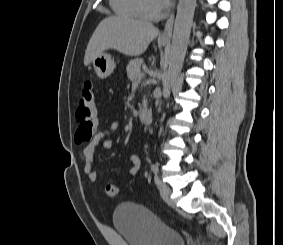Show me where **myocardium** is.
I'll return each instance as SVG.
<instances>
[{"label":"myocardium","instance_id":"obj_1","mask_svg":"<svg viewBox=\"0 0 283 245\" xmlns=\"http://www.w3.org/2000/svg\"><path fill=\"white\" fill-rule=\"evenodd\" d=\"M137 2V9L141 17L149 20L160 18L164 15L165 9L162 8L161 10L157 12H151L145 8L144 1L143 0H136Z\"/></svg>","mask_w":283,"mask_h":245}]
</instances>
